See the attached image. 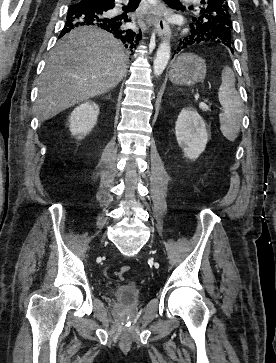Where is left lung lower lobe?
<instances>
[{"instance_id": "1", "label": "left lung lower lobe", "mask_w": 276, "mask_h": 363, "mask_svg": "<svg viewBox=\"0 0 276 363\" xmlns=\"http://www.w3.org/2000/svg\"><path fill=\"white\" fill-rule=\"evenodd\" d=\"M190 26L192 27L190 34L188 36L184 37L180 41V44L177 47V51L185 49L193 44L203 43V42H206L209 40H213V37L209 33L203 32V29L194 27L191 24H190ZM232 53H233V50H232Z\"/></svg>"}]
</instances>
